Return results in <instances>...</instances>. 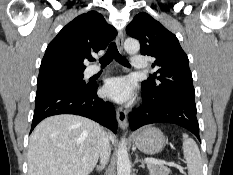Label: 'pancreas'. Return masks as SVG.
<instances>
[{
	"mask_svg": "<svg viewBox=\"0 0 233 175\" xmlns=\"http://www.w3.org/2000/svg\"><path fill=\"white\" fill-rule=\"evenodd\" d=\"M150 175H169L170 169L163 165L147 164Z\"/></svg>",
	"mask_w": 233,
	"mask_h": 175,
	"instance_id": "obj_1",
	"label": "pancreas"
}]
</instances>
